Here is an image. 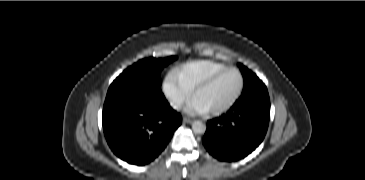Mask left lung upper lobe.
<instances>
[{"instance_id":"1","label":"left lung upper lobe","mask_w":365,"mask_h":180,"mask_svg":"<svg viewBox=\"0 0 365 180\" xmlns=\"http://www.w3.org/2000/svg\"><path fill=\"white\" fill-rule=\"evenodd\" d=\"M242 75L244 77V89L243 93L251 91L253 89L265 86L264 83L249 69L243 66L241 63L238 64ZM242 93V94H243Z\"/></svg>"}]
</instances>
